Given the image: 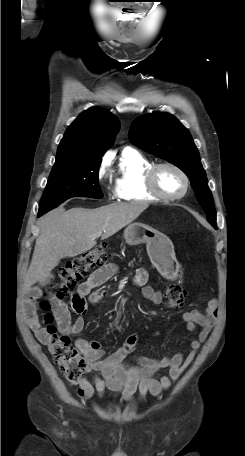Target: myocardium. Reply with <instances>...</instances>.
<instances>
[{
	"label": "myocardium",
	"mask_w": 245,
	"mask_h": 456,
	"mask_svg": "<svg viewBox=\"0 0 245 456\" xmlns=\"http://www.w3.org/2000/svg\"><path fill=\"white\" fill-rule=\"evenodd\" d=\"M163 167H168L173 170H175L183 179L184 182V188L180 194L177 195H167L164 194L163 192L160 191V189L157 186L156 182V177L158 171L163 168ZM145 185L147 188V191L156 197L159 200L162 201H177L182 199L188 192L189 186H190V181L187 176V174L184 172L183 169H181L178 165L171 163V162H161V163H156L153 164L145 173Z\"/></svg>",
	"instance_id": "obj_1"
}]
</instances>
